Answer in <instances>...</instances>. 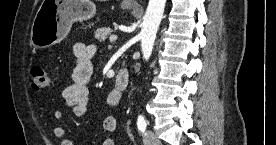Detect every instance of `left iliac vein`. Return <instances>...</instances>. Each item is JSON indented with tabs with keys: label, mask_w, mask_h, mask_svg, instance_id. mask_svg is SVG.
<instances>
[{
	"label": "left iliac vein",
	"mask_w": 276,
	"mask_h": 145,
	"mask_svg": "<svg viewBox=\"0 0 276 145\" xmlns=\"http://www.w3.org/2000/svg\"><path fill=\"white\" fill-rule=\"evenodd\" d=\"M143 143L145 145H160V140L153 131L147 130L143 135Z\"/></svg>",
	"instance_id": "obj_1"
}]
</instances>
